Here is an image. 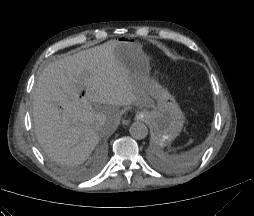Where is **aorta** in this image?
I'll return each instance as SVG.
<instances>
[{"label":"aorta","instance_id":"obj_1","mask_svg":"<svg viewBox=\"0 0 254 216\" xmlns=\"http://www.w3.org/2000/svg\"><path fill=\"white\" fill-rule=\"evenodd\" d=\"M129 132L133 138L141 140L146 138L148 128L144 123L137 121L131 124Z\"/></svg>","mask_w":254,"mask_h":216}]
</instances>
